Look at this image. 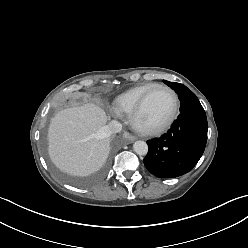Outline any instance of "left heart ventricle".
<instances>
[{
	"mask_svg": "<svg viewBox=\"0 0 248 248\" xmlns=\"http://www.w3.org/2000/svg\"><path fill=\"white\" fill-rule=\"evenodd\" d=\"M173 108V99L164 89H155L148 96L138 117V124L144 128H154L161 125L169 117Z\"/></svg>",
	"mask_w": 248,
	"mask_h": 248,
	"instance_id": "left-heart-ventricle-1",
	"label": "left heart ventricle"
}]
</instances>
